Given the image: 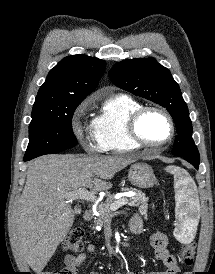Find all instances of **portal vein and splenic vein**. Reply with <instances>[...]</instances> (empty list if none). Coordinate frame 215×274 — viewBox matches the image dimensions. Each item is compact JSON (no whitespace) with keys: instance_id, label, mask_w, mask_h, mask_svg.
I'll return each mask as SVG.
<instances>
[{"instance_id":"obj_1","label":"portal vein and splenic vein","mask_w":215,"mask_h":274,"mask_svg":"<svg viewBox=\"0 0 215 274\" xmlns=\"http://www.w3.org/2000/svg\"><path fill=\"white\" fill-rule=\"evenodd\" d=\"M65 197L69 201L76 200V199L85 200V201H89V202H96L97 201V197L95 196V194L92 193V192H89L84 187L79 188L75 191H71V192L66 193ZM127 203H128L127 198L119 199V200L115 201L110 206V211H116L117 209H119L120 207L126 205Z\"/></svg>"}]
</instances>
